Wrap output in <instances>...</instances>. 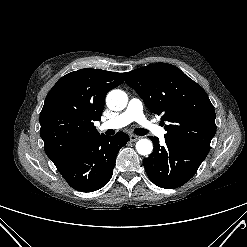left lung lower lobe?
<instances>
[{"label": "left lung lower lobe", "mask_w": 247, "mask_h": 247, "mask_svg": "<svg viewBox=\"0 0 247 247\" xmlns=\"http://www.w3.org/2000/svg\"><path fill=\"white\" fill-rule=\"evenodd\" d=\"M149 138L153 141L154 150L143 159V164L150 180L161 188L184 185L207 156V153L188 145L165 140L166 145L160 146L158 138Z\"/></svg>", "instance_id": "0a47b994"}]
</instances>
